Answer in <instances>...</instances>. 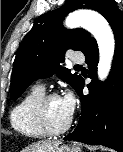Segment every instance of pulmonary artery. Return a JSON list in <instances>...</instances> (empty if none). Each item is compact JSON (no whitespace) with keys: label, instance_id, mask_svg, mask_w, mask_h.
<instances>
[{"label":"pulmonary artery","instance_id":"pulmonary-artery-1","mask_svg":"<svg viewBox=\"0 0 123 152\" xmlns=\"http://www.w3.org/2000/svg\"><path fill=\"white\" fill-rule=\"evenodd\" d=\"M71 61L73 63H82L84 61V57L81 54H74L71 56ZM36 87L44 90V85L40 81L37 82Z\"/></svg>","mask_w":123,"mask_h":152}]
</instances>
